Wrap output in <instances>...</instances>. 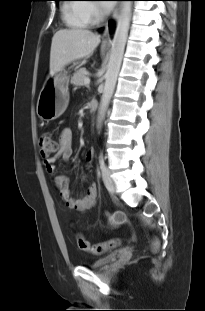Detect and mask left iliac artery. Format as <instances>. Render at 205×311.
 <instances>
[{
    "mask_svg": "<svg viewBox=\"0 0 205 311\" xmlns=\"http://www.w3.org/2000/svg\"><path fill=\"white\" fill-rule=\"evenodd\" d=\"M99 164H100V169L102 173H104V171L106 170V165H105L104 157L102 154L100 155V158H99Z\"/></svg>",
    "mask_w": 205,
    "mask_h": 311,
    "instance_id": "obj_1",
    "label": "left iliac artery"
}]
</instances>
